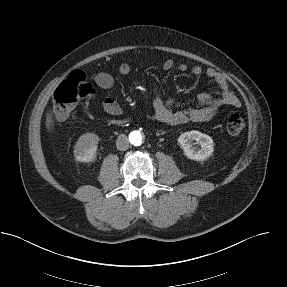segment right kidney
<instances>
[{"label":"right kidney","mask_w":287,"mask_h":287,"mask_svg":"<svg viewBox=\"0 0 287 287\" xmlns=\"http://www.w3.org/2000/svg\"><path fill=\"white\" fill-rule=\"evenodd\" d=\"M99 137L94 133H86L79 137L74 146V157L79 162H90L96 157Z\"/></svg>","instance_id":"ca27d5eb"}]
</instances>
